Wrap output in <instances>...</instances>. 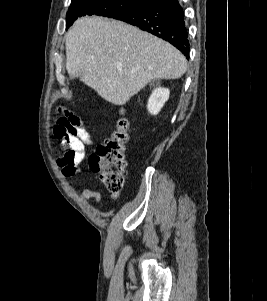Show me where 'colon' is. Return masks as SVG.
Instances as JSON below:
<instances>
[{
	"label": "colon",
	"instance_id": "obj_1",
	"mask_svg": "<svg viewBox=\"0 0 267 301\" xmlns=\"http://www.w3.org/2000/svg\"><path fill=\"white\" fill-rule=\"evenodd\" d=\"M129 139V120L125 115L117 121L113 133L100 144L89 157L90 169L113 197L123 189L126 176L125 148Z\"/></svg>",
	"mask_w": 267,
	"mask_h": 301
}]
</instances>
